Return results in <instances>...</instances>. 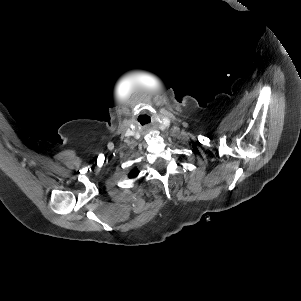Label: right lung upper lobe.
<instances>
[{
  "label": "right lung upper lobe",
  "mask_w": 301,
  "mask_h": 301,
  "mask_svg": "<svg viewBox=\"0 0 301 301\" xmlns=\"http://www.w3.org/2000/svg\"><path fill=\"white\" fill-rule=\"evenodd\" d=\"M138 175V171L135 169V170H133V171H131L130 173H129V177L130 178H134V177H136Z\"/></svg>",
  "instance_id": "cb5924a9"
}]
</instances>
